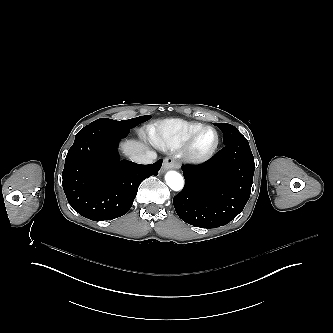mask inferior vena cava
Listing matches in <instances>:
<instances>
[{
    "label": "inferior vena cava",
    "mask_w": 333,
    "mask_h": 333,
    "mask_svg": "<svg viewBox=\"0 0 333 333\" xmlns=\"http://www.w3.org/2000/svg\"><path fill=\"white\" fill-rule=\"evenodd\" d=\"M130 160L138 164H152L157 158V154L154 151L147 150L144 153L129 156Z\"/></svg>",
    "instance_id": "1"
}]
</instances>
